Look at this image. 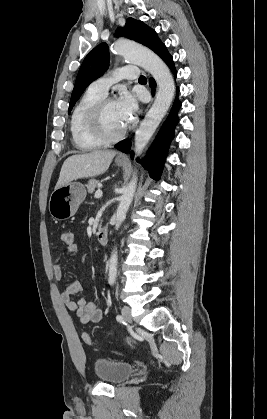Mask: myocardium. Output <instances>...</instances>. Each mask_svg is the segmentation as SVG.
Listing matches in <instances>:
<instances>
[{"mask_svg":"<svg viewBox=\"0 0 267 419\" xmlns=\"http://www.w3.org/2000/svg\"><path fill=\"white\" fill-rule=\"evenodd\" d=\"M116 101L114 97L104 96L98 100L90 109L88 115V125L92 134L102 143H112L122 139L128 130L126 125L120 132L116 134H110L106 131L103 123V115L105 108L111 102Z\"/></svg>","mask_w":267,"mask_h":419,"instance_id":"f54148a6","label":"myocardium"}]
</instances>
